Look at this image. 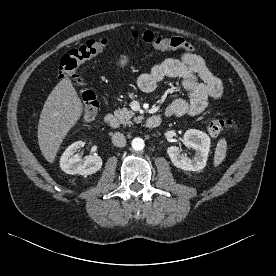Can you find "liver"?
<instances>
[{"label":"liver","mask_w":276,"mask_h":276,"mask_svg":"<svg viewBox=\"0 0 276 276\" xmlns=\"http://www.w3.org/2000/svg\"><path fill=\"white\" fill-rule=\"evenodd\" d=\"M83 106L69 78L62 79L49 94L38 123V144L53 163L63 139L80 119Z\"/></svg>","instance_id":"liver-1"}]
</instances>
